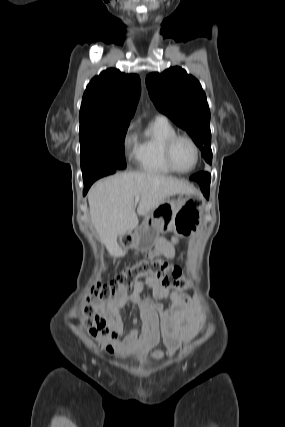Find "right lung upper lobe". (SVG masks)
I'll use <instances>...</instances> for the list:
<instances>
[{"label":"right lung upper lobe","instance_id":"right-lung-upper-lobe-1","mask_svg":"<svg viewBox=\"0 0 285 427\" xmlns=\"http://www.w3.org/2000/svg\"><path fill=\"white\" fill-rule=\"evenodd\" d=\"M141 86L136 74H125L114 68L94 77L84 92L80 122H129L134 115Z\"/></svg>","mask_w":285,"mask_h":427}]
</instances>
